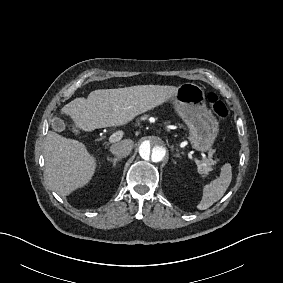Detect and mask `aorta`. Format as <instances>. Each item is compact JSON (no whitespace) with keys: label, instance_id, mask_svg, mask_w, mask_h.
<instances>
[{"label":"aorta","instance_id":"aorta-1","mask_svg":"<svg viewBox=\"0 0 283 283\" xmlns=\"http://www.w3.org/2000/svg\"><path fill=\"white\" fill-rule=\"evenodd\" d=\"M139 155L145 166H156L166 161L168 147L165 139L151 134L143 137L139 143Z\"/></svg>","mask_w":283,"mask_h":283}]
</instances>
